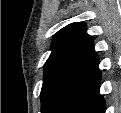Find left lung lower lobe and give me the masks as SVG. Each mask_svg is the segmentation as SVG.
<instances>
[{
  "label": "left lung lower lobe",
  "mask_w": 121,
  "mask_h": 113,
  "mask_svg": "<svg viewBox=\"0 0 121 113\" xmlns=\"http://www.w3.org/2000/svg\"><path fill=\"white\" fill-rule=\"evenodd\" d=\"M101 79L93 89L76 105L71 113H105L106 106L99 93Z\"/></svg>",
  "instance_id": "obj_1"
}]
</instances>
